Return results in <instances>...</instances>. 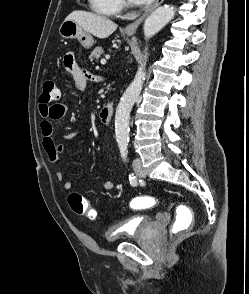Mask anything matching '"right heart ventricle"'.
<instances>
[{"label":"right heart ventricle","instance_id":"obj_1","mask_svg":"<svg viewBox=\"0 0 249 294\" xmlns=\"http://www.w3.org/2000/svg\"><path fill=\"white\" fill-rule=\"evenodd\" d=\"M91 9L103 16H116L121 11V0H89Z\"/></svg>","mask_w":249,"mask_h":294}]
</instances>
